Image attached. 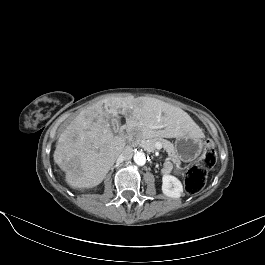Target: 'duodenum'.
<instances>
[{
	"label": "duodenum",
	"mask_w": 265,
	"mask_h": 265,
	"mask_svg": "<svg viewBox=\"0 0 265 265\" xmlns=\"http://www.w3.org/2000/svg\"><path fill=\"white\" fill-rule=\"evenodd\" d=\"M121 135H122V136H125V135H126V132H125V131H122V132H121Z\"/></svg>",
	"instance_id": "obj_1"
}]
</instances>
